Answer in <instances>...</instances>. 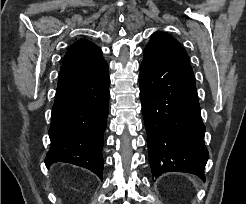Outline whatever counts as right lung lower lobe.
<instances>
[{"label": "right lung lower lobe", "mask_w": 246, "mask_h": 204, "mask_svg": "<svg viewBox=\"0 0 246 204\" xmlns=\"http://www.w3.org/2000/svg\"><path fill=\"white\" fill-rule=\"evenodd\" d=\"M109 83L107 63L61 68L49 129L47 167L67 162L87 168L102 179Z\"/></svg>", "instance_id": "98d812e1"}]
</instances>
